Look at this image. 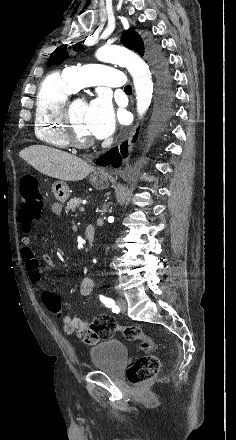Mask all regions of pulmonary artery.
<instances>
[{
  "label": "pulmonary artery",
  "instance_id": "pulmonary-artery-1",
  "mask_svg": "<svg viewBox=\"0 0 236 440\" xmlns=\"http://www.w3.org/2000/svg\"><path fill=\"white\" fill-rule=\"evenodd\" d=\"M64 75L75 91L85 86L125 88L126 80L121 70L101 64L70 66Z\"/></svg>",
  "mask_w": 236,
  "mask_h": 440
}]
</instances>
